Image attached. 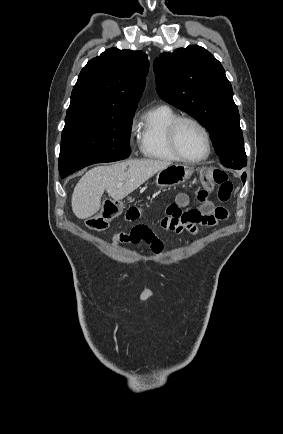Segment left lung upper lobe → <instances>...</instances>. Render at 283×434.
<instances>
[{
  "label": "left lung upper lobe",
  "instance_id": "obj_1",
  "mask_svg": "<svg viewBox=\"0 0 283 434\" xmlns=\"http://www.w3.org/2000/svg\"><path fill=\"white\" fill-rule=\"evenodd\" d=\"M153 68L158 95L208 130L224 166L244 168L247 156L239 112L221 63L203 47L191 45L162 53Z\"/></svg>",
  "mask_w": 283,
  "mask_h": 434
}]
</instances>
